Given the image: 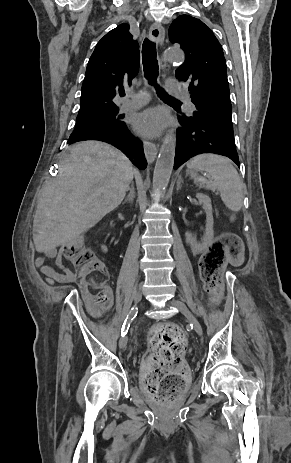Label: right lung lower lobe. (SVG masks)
<instances>
[{
	"label": "right lung lower lobe",
	"mask_w": 291,
	"mask_h": 463,
	"mask_svg": "<svg viewBox=\"0 0 291 463\" xmlns=\"http://www.w3.org/2000/svg\"><path fill=\"white\" fill-rule=\"evenodd\" d=\"M83 140H100L110 143L121 150L139 169L143 170L147 167L142 142L130 133L125 123L118 127L101 128L70 136L68 143Z\"/></svg>",
	"instance_id": "1"
}]
</instances>
